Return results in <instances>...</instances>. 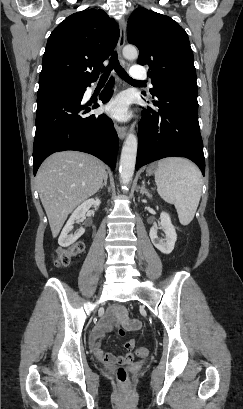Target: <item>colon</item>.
<instances>
[{
	"label": "colon",
	"instance_id": "1",
	"mask_svg": "<svg viewBox=\"0 0 243 409\" xmlns=\"http://www.w3.org/2000/svg\"><path fill=\"white\" fill-rule=\"evenodd\" d=\"M85 248V243L83 241H79L73 244L68 249H59L56 253L55 265L57 267H65L69 265L71 259L76 255L80 254ZM119 333H124L122 329H119ZM137 353L141 357H146L149 354V350L146 347H139L137 349ZM116 378L119 383L125 384L128 380V372L125 367L120 366L116 371Z\"/></svg>",
	"mask_w": 243,
	"mask_h": 409
}]
</instances>
